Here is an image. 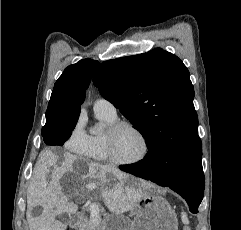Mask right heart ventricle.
I'll return each instance as SVG.
<instances>
[{"instance_id":"right-heart-ventricle-1","label":"right heart ventricle","mask_w":241,"mask_h":230,"mask_svg":"<svg viewBox=\"0 0 241 230\" xmlns=\"http://www.w3.org/2000/svg\"><path fill=\"white\" fill-rule=\"evenodd\" d=\"M98 118L107 126L116 121V117H111L105 114L96 113ZM90 160L98 162L109 161L104 144V134H93L90 136L89 146L87 151L83 154Z\"/></svg>"}]
</instances>
